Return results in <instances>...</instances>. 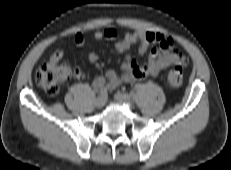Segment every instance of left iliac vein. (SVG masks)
Instances as JSON below:
<instances>
[{"label":"left iliac vein","instance_id":"1","mask_svg":"<svg viewBox=\"0 0 231 170\" xmlns=\"http://www.w3.org/2000/svg\"><path fill=\"white\" fill-rule=\"evenodd\" d=\"M115 100L119 103L125 104L130 108L133 107V101L131 100L130 96L125 93L117 92L114 96Z\"/></svg>","mask_w":231,"mask_h":170}]
</instances>
